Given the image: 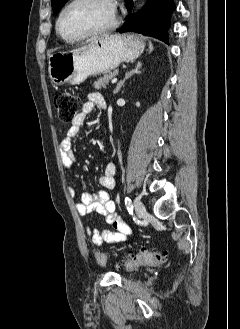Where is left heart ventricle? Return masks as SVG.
I'll return each mask as SVG.
<instances>
[{
  "mask_svg": "<svg viewBox=\"0 0 240 329\" xmlns=\"http://www.w3.org/2000/svg\"><path fill=\"white\" fill-rule=\"evenodd\" d=\"M114 16L107 0H82L64 14L61 29L66 36L77 37L109 25Z\"/></svg>",
  "mask_w": 240,
  "mask_h": 329,
  "instance_id": "left-heart-ventricle-1",
  "label": "left heart ventricle"
}]
</instances>
